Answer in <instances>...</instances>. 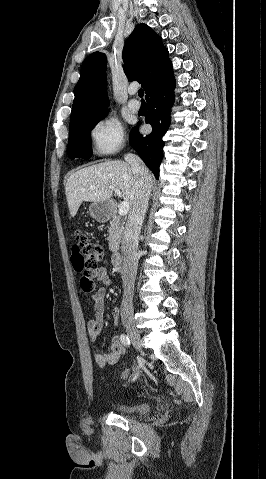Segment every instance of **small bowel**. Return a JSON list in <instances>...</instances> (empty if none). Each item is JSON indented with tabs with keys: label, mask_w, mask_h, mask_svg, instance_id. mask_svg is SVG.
Instances as JSON below:
<instances>
[{
	"label": "small bowel",
	"mask_w": 266,
	"mask_h": 479,
	"mask_svg": "<svg viewBox=\"0 0 266 479\" xmlns=\"http://www.w3.org/2000/svg\"><path fill=\"white\" fill-rule=\"evenodd\" d=\"M90 277L97 284L102 286H110L114 283L111 276L108 274L104 267H98L90 272ZM105 287H98L93 291V316L88 322L87 329L93 341L96 340L98 335L102 332L104 313H105ZM120 315L119 307H114L112 310V317L116 320ZM126 353V348L120 343L118 336L113 335L111 350L106 353L96 352L94 354V360L99 367H105L106 365H114L118 363L122 356Z\"/></svg>",
	"instance_id": "small-bowel-1"
}]
</instances>
